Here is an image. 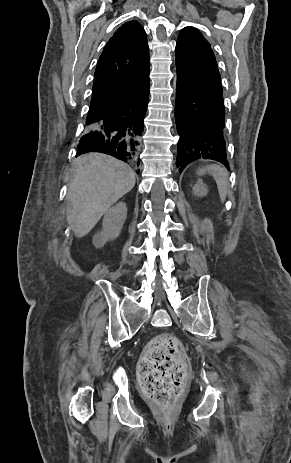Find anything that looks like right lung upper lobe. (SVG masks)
Returning <instances> with one entry per match:
<instances>
[{
  "mask_svg": "<svg viewBox=\"0 0 291 463\" xmlns=\"http://www.w3.org/2000/svg\"><path fill=\"white\" fill-rule=\"evenodd\" d=\"M149 47L137 21L121 26L99 57L86 124L121 106L126 98L149 84Z\"/></svg>",
  "mask_w": 291,
  "mask_h": 463,
  "instance_id": "right-lung-upper-lobe-1",
  "label": "right lung upper lobe"
}]
</instances>
